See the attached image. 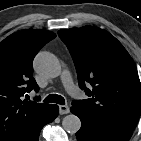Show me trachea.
<instances>
[{
  "instance_id": "1",
  "label": "trachea",
  "mask_w": 141,
  "mask_h": 141,
  "mask_svg": "<svg viewBox=\"0 0 141 141\" xmlns=\"http://www.w3.org/2000/svg\"><path fill=\"white\" fill-rule=\"evenodd\" d=\"M44 102L57 103V104L65 105L64 98L62 96H60V95H57V94L48 95L44 99Z\"/></svg>"
}]
</instances>
